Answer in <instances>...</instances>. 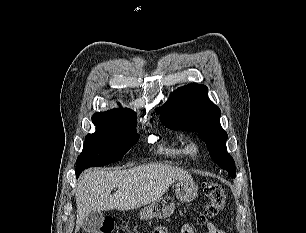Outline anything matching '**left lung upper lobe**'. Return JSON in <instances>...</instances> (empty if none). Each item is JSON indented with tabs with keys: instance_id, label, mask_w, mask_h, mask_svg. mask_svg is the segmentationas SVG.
Instances as JSON below:
<instances>
[{
	"instance_id": "obj_1",
	"label": "left lung upper lobe",
	"mask_w": 306,
	"mask_h": 233,
	"mask_svg": "<svg viewBox=\"0 0 306 233\" xmlns=\"http://www.w3.org/2000/svg\"><path fill=\"white\" fill-rule=\"evenodd\" d=\"M156 113L170 129L197 132L214 162L235 178L234 160L225 144L227 133L220 125L221 111L208 98L205 85L191 83L178 88Z\"/></svg>"
}]
</instances>
